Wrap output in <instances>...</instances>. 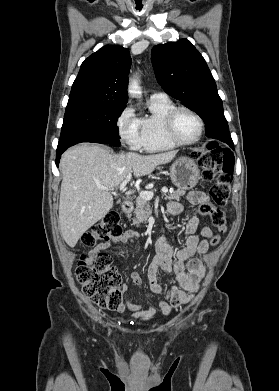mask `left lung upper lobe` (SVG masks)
<instances>
[{
    "label": "left lung upper lobe",
    "instance_id": "1",
    "mask_svg": "<svg viewBox=\"0 0 279 391\" xmlns=\"http://www.w3.org/2000/svg\"><path fill=\"white\" fill-rule=\"evenodd\" d=\"M151 55L155 76L165 92L203 119L207 137L233 144L215 80L191 42L182 39L156 45Z\"/></svg>",
    "mask_w": 279,
    "mask_h": 391
}]
</instances>
